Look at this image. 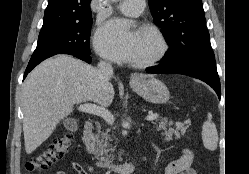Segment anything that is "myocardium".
Masks as SVG:
<instances>
[{"instance_id": "myocardium-1", "label": "myocardium", "mask_w": 249, "mask_h": 174, "mask_svg": "<svg viewBox=\"0 0 249 174\" xmlns=\"http://www.w3.org/2000/svg\"><path fill=\"white\" fill-rule=\"evenodd\" d=\"M139 31H146L151 33L156 38L159 49L153 55L143 60L133 62V65L136 67H148L163 60L169 52V43L163 32L157 26L152 24L142 25L139 28Z\"/></svg>"}]
</instances>
